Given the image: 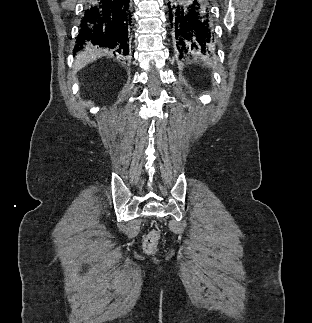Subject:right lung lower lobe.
Instances as JSON below:
<instances>
[{
    "mask_svg": "<svg viewBox=\"0 0 312 323\" xmlns=\"http://www.w3.org/2000/svg\"><path fill=\"white\" fill-rule=\"evenodd\" d=\"M132 32L130 0H88L84 4L73 54L89 45L127 56Z\"/></svg>",
    "mask_w": 312,
    "mask_h": 323,
    "instance_id": "obj_1",
    "label": "right lung lower lobe"
}]
</instances>
